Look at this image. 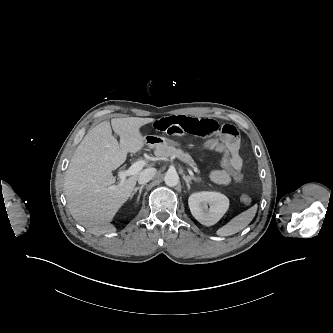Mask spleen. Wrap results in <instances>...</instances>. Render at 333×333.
Instances as JSON below:
<instances>
[{"instance_id": "1", "label": "spleen", "mask_w": 333, "mask_h": 333, "mask_svg": "<svg viewBox=\"0 0 333 333\" xmlns=\"http://www.w3.org/2000/svg\"><path fill=\"white\" fill-rule=\"evenodd\" d=\"M257 204L232 218L227 224L216 231L218 236H230L243 230L255 217Z\"/></svg>"}]
</instances>
